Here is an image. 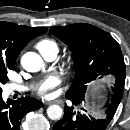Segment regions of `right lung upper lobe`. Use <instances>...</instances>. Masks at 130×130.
<instances>
[{
    "instance_id": "right-lung-upper-lobe-1",
    "label": "right lung upper lobe",
    "mask_w": 130,
    "mask_h": 130,
    "mask_svg": "<svg viewBox=\"0 0 130 130\" xmlns=\"http://www.w3.org/2000/svg\"><path fill=\"white\" fill-rule=\"evenodd\" d=\"M47 29L0 21V60L15 65L19 53L27 43Z\"/></svg>"
}]
</instances>
